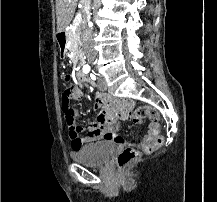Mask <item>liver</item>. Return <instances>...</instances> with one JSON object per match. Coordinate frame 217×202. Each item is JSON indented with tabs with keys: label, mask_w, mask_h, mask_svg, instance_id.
<instances>
[{
	"label": "liver",
	"mask_w": 217,
	"mask_h": 202,
	"mask_svg": "<svg viewBox=\"0 0 217 202\" xmlns=\"http://www.w3.org/2000/svg\"><path fill=\"white\" fill-rule=\"evenodd\" d=\"M76 10V0H56L57 32L69 26Z\"/></svg>",
	"instance_id": "obj_1"
}]
</instances>
